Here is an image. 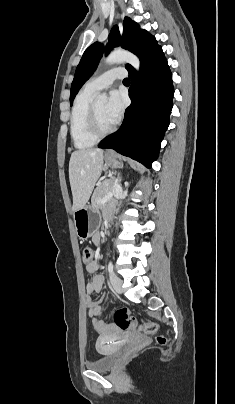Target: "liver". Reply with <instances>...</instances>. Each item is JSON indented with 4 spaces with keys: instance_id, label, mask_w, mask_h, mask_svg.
Segmentation results:
<instances>
[{
    "instance_id": "1",
    "label": "liver",
    "mask_w": 235,
    "mask_h": 404,
    "mask_svg": "<svg viewBox=\"0 0 235 404\" xmlns=\"http://www.w3.org/2000/svg\"><path fill=\"white\" fill-rule=\"evenodd\" d=\"M103 150L81 149L71 154L69 181L73 196L72 210L84 207L103 169Z\"/></svg>"
}]
</instances>
